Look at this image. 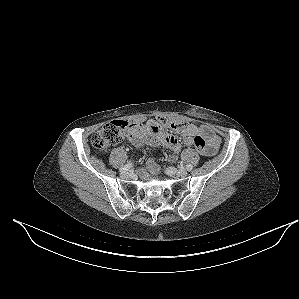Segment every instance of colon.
Wrapping results in <instances>:
<instances>
[{"mask_svg": "<svg viewBox=\"0 0 299 299\" xmlns=\"http://www.w3.org/2000/svg\"><path fill=\"white\" fill-rule=\"evenodd\" d=\"M161 124L175 132H181L185 123L161 118ZM144 124L132 123L126 120H114L104 125L91 139L92 146L100 151H106L110 147L120 143L124 137L134 128H143ZM194 146L200 153L207 155L209 149L207 142L202 136H197Z\"/></svg>", "mask_w": 299, "mask_h": 299, "instance_id": "1", "label": "colon"}]
</instances>
